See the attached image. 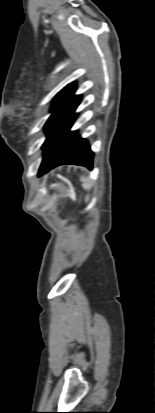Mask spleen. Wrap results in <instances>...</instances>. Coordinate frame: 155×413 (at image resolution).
<instances>
[{
  "label": "spleen",
  "instance_id": "obj_1",
  "mask_svg": "<svg viewBox=\"0 0 155 413\" xmlns=\"http://www.w3.org/2000/svg\"><path fill=\"white\" fill-rule=\"evenodd\" d=\"M81 181L83 182V188L88 190L91 187V183L89 182V180L85 177H81ZM86 200H88V197L86 198Z\"/></svg>",
  "mask_w": 155,
  "mask_h": 413
}]
</instances>
